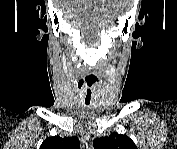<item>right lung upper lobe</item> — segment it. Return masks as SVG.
Instances as JSON below:
<instances>
[{
  "label": "right lung upper lobe",
  "mask_w": 177,
  "mask_h": 149,
  "mask_svg": "<svg viewBox=\"0 0 177 149\" xmlns=\"http://www.w3.org/2000/svg\"><path fill=\"white\" fill-rule=\"evenodd\" d=\"M40 149H80V142L77 137L59 136L49 137L43 141Z\"/></svg>",
  "instance_id": "1"
}]
</instances>
